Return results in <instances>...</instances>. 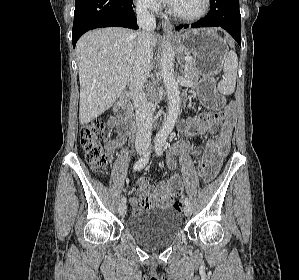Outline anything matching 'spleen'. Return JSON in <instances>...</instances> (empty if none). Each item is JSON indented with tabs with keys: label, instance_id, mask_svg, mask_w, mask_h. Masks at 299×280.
Segmentation results:
<instances>
[{
	"label": "spleen",
	"instance_id": "3e777b00",
	"mask_svg": "<svg viewBox=\"0 0 299 280\" xmlns=\"http://www.w3.org/2000/svg\"><path fill=\"white\" fill-rule=\"evenodd\" d=\"M238 59L235 51L231 50L224 61V79L217 88L223 95H230L235 91L237 77Z\"/></svg>",
	"mask_w": 299,
	"mask_h": 280
}]
</instances>
